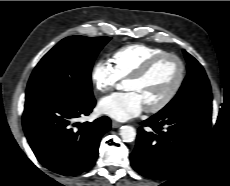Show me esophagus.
<instances>
[{"mask_svg":"<svg viewBox=\"0 0 230 186\" xmlns=\"http://www.w3.org/2000/svg\"><path fill=\"white\" fill-rule=\"evenodd\" d=\"M121 126V123L112 121V128H119Z\"/></svg>","mask_w":230,"mask_h":186,"instance_id":"obj_1","label":"esophagus"}]
</instances>
